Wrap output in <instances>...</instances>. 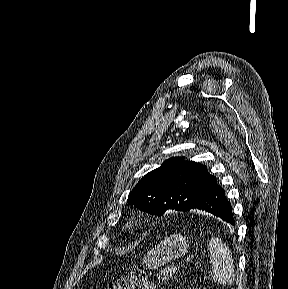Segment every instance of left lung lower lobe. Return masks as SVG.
<instances>
[{
  "mask_svg": "<svg viewBox=\"0 0 288 289\" xmlns=\"http://www.w3.org/2000/svg\"><path fill=\"white\" fill-rule=\"evenodd\" d=\"M191 209H199L209 212L222 220L235 225L231 205L228 202L225 191L217 183L207 190L192 206Z\"/></svg>",
  "mask_w": 288,
  "mask_h": 289,
  "instance_id": "left-lung-lower-lobe-1",
  "label": "left lung lower lobe"
}]
</instances>
